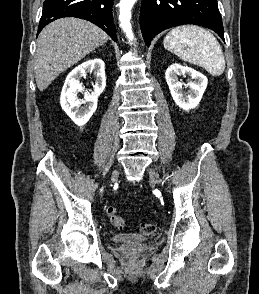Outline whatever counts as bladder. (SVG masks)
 Wrapping results in <instances>:
<instances>
[{
	"label": "bladder",
	"mask_w": 259,
	"mask_h": 294,
	"mask_svg": "<svg viewBox=\"0 0 259 294\" xmlns=\"http://www.w3.org/2000/svg\"><path fill=\"white\" fill-rule=\"evenodd\" d=\"M114 242H126V241H135L142 242L146 240L145 236H136L131 233H116L112 236Z\"/></svg>",
	"instance_id": "31cf9c89"
}]
</instances>
